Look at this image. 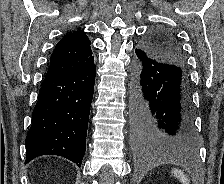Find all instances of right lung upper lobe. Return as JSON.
<instances>
[{"label": "right lung upper lobe", "mask_w": 224, "mask_h": 184, "mask_svg": "<svg viewBox=\"0 0 224 184\" xmlns=\"http://www.w3.org/2000/svg\"><path fill=\"white\" fill-rule=\"evenodd\" d=\"M90 45V40L82 31L65 35L55 46L46 76L71 73L90 65L94 62Z\"/></svg>", "instance_id": "obj_1"}]
</instances>
